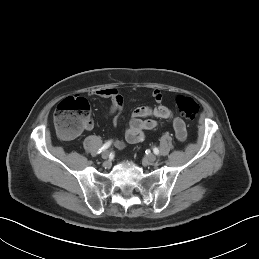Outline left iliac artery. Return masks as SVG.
<instances>
[{
    "mask_svg": "<svg viewBox=\"0 0 259 259\" xmlns=\"http://www.w3.org/2000/svg\"><path fill=\"white\" fill-rule=\"evenodd\" d=\"M153 152H154L156 155H158V154H159V149L155 147V148L153 149Z\"/></svg>",
    "mask_w": 259,
    "mask_h": 259,
    "instance_id": "44dca946",
    "label": "left iliac artery"
}]
</instances>
